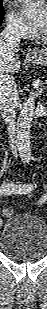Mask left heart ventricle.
Instances as JSON below:
<instances>
[{"label":"left heart ventricle","instance_id":"obj_1","mask_svg":"<svg viewBox=\"0 0 47 309\" xmlns=\"http://www.w3.org/2000/svg\"><path fill=\"white\" fill-rule=\"evenodd\" d=\"M46 28V26L44 25L41 29L44 30Z\"/></svg>","mask_w":47,"mask_h":309}]
</instances>
